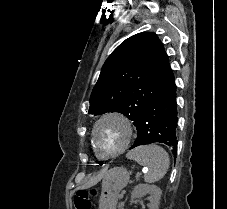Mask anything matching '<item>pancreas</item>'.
I'll return each mask as SVG.
<instances>
[{
  "label": "pancreas",
  "mask_w": 227,
  "mask_h": 209,
  "mask_svg": "<svg viewBox=\"0 0 227 209\" xmlns=\"http://www.w3.org/2000/svg\"><path fill=\"white\" fill-rule=\"evenodd\" d=\"M126 201L124 199H120L119 200V203L117 204V209H123L122 207L124 206L123 204L125 203Z\"/></svg>",
  "instance_id": "obj_1"
}]
</instances>
